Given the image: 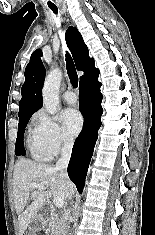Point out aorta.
I'll list each match as a JSON object with an SVG mask.
<instances>
[{"label":"aorta","instance_id":"1","mask_svg":"<svg viewBox=\"0 0 155 235\" xmlns=\"http://www.w3.org/2000/svg\"><path fill=\"white\" fill-rule=\"evenodd\" d=\"M62 79V73L59 69H52L47 75L42 97L46 110L50 114H55L59 104V87Z\"/></svg>","mask_w":155,"mask_h":235}]
</instances>
